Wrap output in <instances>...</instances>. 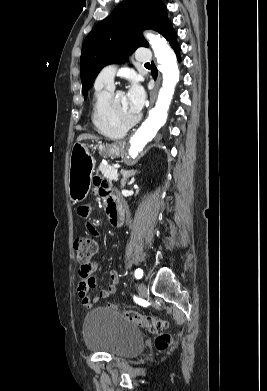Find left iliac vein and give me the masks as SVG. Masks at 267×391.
I'll use <instances>...</instances> for the list:
<instances>
[{
    "label": "left iliac vein",
    "mask_w": 267,
    "mask_h": 391,
    "mask_svg": "<svg viewBox=\"0 0 267 391\" xmlns=\"http://www.w3.org/2000/svg\"><path fill=\"white\" fill-rule=\"evenodd\" d=\"M138 290H139V294H140L141 296H144V295L146 294V292H147V286H146V284H145V283H140V284H139V287H138Z\"/></svg>",
    "instance_id": "obj_1"
}]
</instances>
